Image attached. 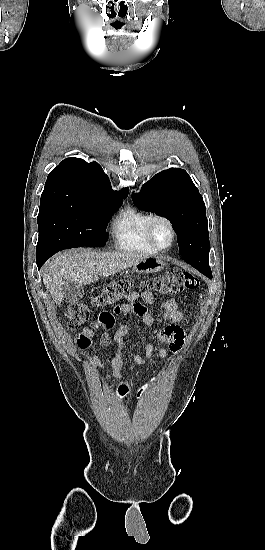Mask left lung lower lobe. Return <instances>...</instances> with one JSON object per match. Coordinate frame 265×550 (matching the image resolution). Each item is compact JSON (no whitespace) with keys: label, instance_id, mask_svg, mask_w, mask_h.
Listing matches in <instances>:
<instances>
[{"label":"left lung lower lobe","instance_id":"0a47b994","mask_svg":"<svg viewBox=\"0 0 265 550\" xmlns=\"http://www.w3.org/2000/svg\"><path fill=\"white\" fill-rule=\"evenodd\" d=\"M200 271L208 278H212L211 268L209 267V258H196L185 261Z\"/></svg>","mask_w":265,"mask_h":550}]
</instances>
